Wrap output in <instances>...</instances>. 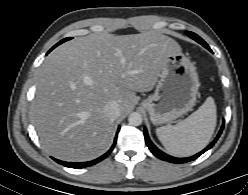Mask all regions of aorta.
Listing matches in <instances>:
<instances>
[{"label": "aorta", "instance_id": "aorta-1", "mask_svg": "<svg viewBox=\"0 0 248 195\" xmlns=\"http://www.w3.org/2000/svg\"><path fill=\"white\" fill-rule=\"evenodd\" d=\"M142 115L138 112H133L128 117V122L132 126H139L142 123Z\"/></svg>", "mask_w": 248, "mask_h": 195}]
</instances>
